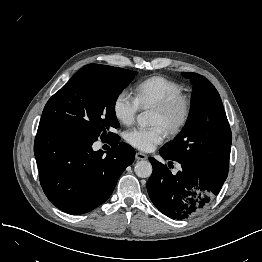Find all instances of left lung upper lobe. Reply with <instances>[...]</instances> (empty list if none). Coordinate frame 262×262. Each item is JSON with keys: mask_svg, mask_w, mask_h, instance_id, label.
<instances>
[{"mask_svg": "<svg viewBox=\"0 0 262 262\" xmlns=\"http://www.w3.org/2000/svg\"><path fill=\"white\" fill-rule=\"evenodd\" d=\"M182 75L193 84L189 116L180 134L160 151L203 175H220L228 169L232 142L220 95L205 77L191 72Z\"/></svg>", "mask_w": 262, "mask_h": 262, "instance_id": "obj_1", "label": "left lung upper lobe"}]
</instances>
